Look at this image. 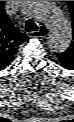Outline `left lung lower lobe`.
<instances>
[{
	"label": "left lung lower lobe",
	"instance_id": "left-lung-lower-lobe-1",
	"mask_svg": "<svg viewBox=\"0 0 74 122\" xmlns=\"http://www.w3.org/2000/svg\"><path fill=\"white\" fill-rule=\"evenodd\" d=\"M60 64L63 68L68 69V70H74V66L72 64L69 63H64L60 61Z\"/></svg>",
	"mask_w": 74,
	"mask_h": 122
}]
</instances>
